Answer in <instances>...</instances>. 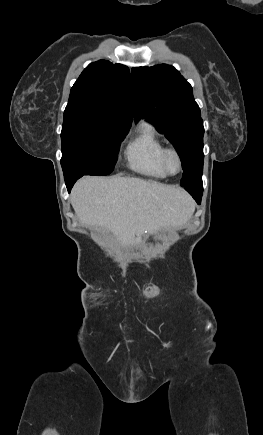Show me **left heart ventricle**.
I'll return each instance as SVG.
<instances>
[{
    "label": "left heart ventricle",
    "instance_id": "1",
    "mask_svg": "<svg viewBox=\"0 0 263 435\" xmlns=\"http://www.w3.org/2000/svg\"><path fill=\"white\" fill-rule=\"evenodd\" d=\"M167 164H168L169 169L172 172H176L178 170V167H179L178 160H177V158L174 155H169L168 156Z\"/></svg>",
    "mask_w": 263,
    "mask_h": 435
}]
</instances>
